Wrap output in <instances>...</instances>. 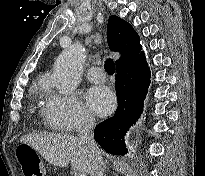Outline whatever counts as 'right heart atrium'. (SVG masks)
Listing matches in <instances>:
<instances>
[{"mask_svg": "<svg viewBox=\"0 0 205 176\" xmlns=\"http://www.w3.org/2000/svg\"><path fill=\"white\" fill-rule=\"evenodd\" d=\"M44 111L50 124L57 130L73 132L94 124V117L75 95L49 90Z\"/></svg>", "mask_w": 205, "mask_h": 176, "instance_id": "d8ad5b80", "label": "right heart atrium"}]
</instances>
